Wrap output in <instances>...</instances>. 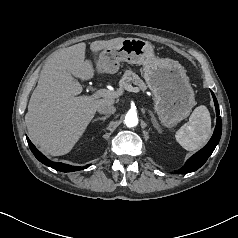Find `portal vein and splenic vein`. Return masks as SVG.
<instances>
[{
    "label": "portal vein and splenic vein",
    "instance_id": "obj_1",
    "mask_svg": "<svg viewBox=\"0 0 238 238\" xmlns=\"http://www.w3.org/2000/svg\"><path fill=\"white\" fill-rule=\"evenodd\" d=\"M126 90L130 91V92H138L139 91L138 88H134L131 85H128L126 87ZM121 95H122L121 91H110V90H107V89H100L92 95V98H95V99L100 98V97H103V98H117Z\"/></svg>",
    "mask_w": 238,
    "mask_h": 238
}]
</instances>
